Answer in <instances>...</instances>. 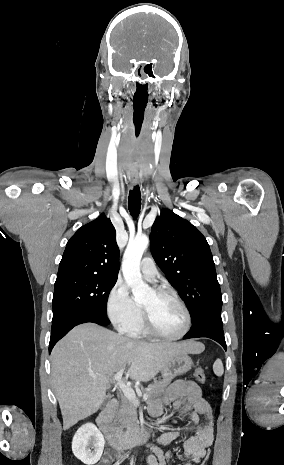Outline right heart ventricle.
Listing matches in <instances>:
<instances>
[{
    "mask_svg": "<svg viewBox=\"0 0 284 465\" xmlns=\"http://www.w3.org/2000/svg\"><path fill=\"white\" fill-rule=\"evenodd\" d=\"M143 321L142 319V314L138 317L136 323L130 327H128L124 332L132 337V338H141V337H145V333L142 329V327L140 326V322Z\"/></svg>",
    "mask_w": 284,
    "mask_h": 465,
    "instance_id": "1",
    "label": "right heart ventricle"
}]
</instances>
